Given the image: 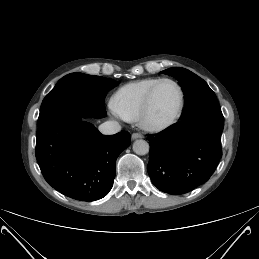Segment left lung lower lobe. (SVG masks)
Listing matches in <instances>:
<instances>
[{
  "instance_id": "left-lung-lower-lobe-1",
  "label": "left lung lower lobe",
  "mask_w": 259,
  "mask_h": 259,
  "mask_svg": "<svg viewBox=\"0 0 259 259\" xmlns=\"http://www.w3.org/2000/svg\"><path fill=\"white\" fill-rule=\"evenodd\" d=\"M221 111L196 114L149 136L148 174L171 195L188 193L208 181L222 157Z\"/></svg>"
}]
</instances>
